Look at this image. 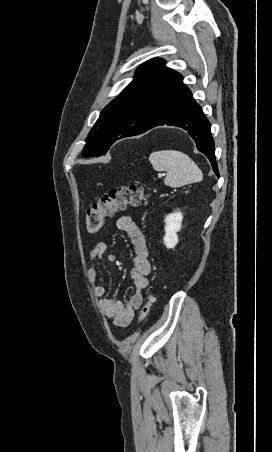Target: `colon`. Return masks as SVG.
<instances>
[{"label": "colon", "mask_w": 272, "mask_h": 452, "mask_svg": "<svg viewBox=\"0 0 272 452\" xmlns=\"http://www.w3.org/2000/svg\"><path fill=\"white\" fill-rule=\"evenodd\" d=\"M147 200L148 193L138 183L111 190L88 208L86 212V228L90 233H96L102 228L106 218L112 217L116 212L129 206H143L147 203ZM155 299L154 293L148 294L146 303L141 310L140 321H144L148 317Z\"/></svg>", "instance_id": "5ec220e1"}]
</instances>
